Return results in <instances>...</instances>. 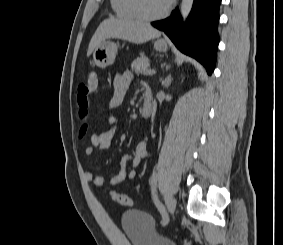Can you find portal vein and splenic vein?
I'll return each instance as SVG.
<instances>
[{
	"mask_svg": "<svg viewBox=\"0 0 283 245\" xmlns=\"http://www.w3.org/2000/svg\"><path fill=\"white\" fill-rule=\"evenodd\" d=\"M144 74H145V75H152V74H155V70H147Z\"/></svg>",
	"mask_w": 283,
	"mask_h": 245,
	"instance_id": "portal-vein-and-splenic-vein-1",
	"label": "portal vein and splenic vein"
}]
</instances>
